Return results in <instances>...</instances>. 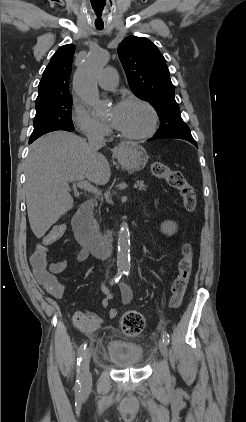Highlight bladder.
Returning a JSON list of instances; mask_svg holds the SVG:
<instances>
[{"label": "bladder", "mask_w": 246, "mask_h": 422, "mask_svg": "<svg viewBox=\"0 0 246 422\" xmlns=\"http://www.w3.org/2000/svg\"><path fill=\"white\" fill-rule=\"evenodd\" d=\"M107 359L120 368H138L144 364L145 354L141 344L121 338H111L106 345Z\"/></svg>", "instance_id": "1"}]
</instances>
